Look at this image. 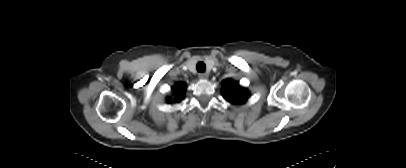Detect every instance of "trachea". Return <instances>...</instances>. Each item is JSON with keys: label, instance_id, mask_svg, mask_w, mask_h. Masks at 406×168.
I'll list each match as a JSON object with an SVG mask.
<instances>
[{"label": "trachea", "instance_id": "1", "mask_svg": "<svg viewBox=\"0 0 406 168\" xmlns=\"http://www.w3.org/2000/svg\"><path fill=\"white\" fill-rule=\"evenodd\" d=\"M196 69L198 72H204L206 70V65L203 62H198Z\"/></svg>", "mask_w": 406, "mask_h": 168}]
</instances>
